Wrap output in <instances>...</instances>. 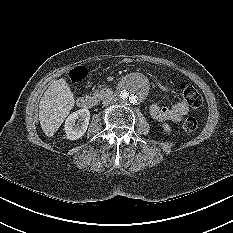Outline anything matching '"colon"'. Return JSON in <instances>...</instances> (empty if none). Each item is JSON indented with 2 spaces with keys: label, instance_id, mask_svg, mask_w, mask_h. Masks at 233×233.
Segmentation results:
<instances>
[{
  "label": "colon",
  "instance_id": "obj_1",
  "mask_svg": "<svg viewBox=\"0 0 233 233\" xmlns=\"http://www.w3.org/2000/svg\"><path fill=\"white\" fill-rule=\"evenodd\" d=\"M86 71L84 68H78L72 71L70 74L71 80L73 82L81 81L85 78ZM181 90L183 93V97L186 102L194 109L200 108L203 104V99L200 93L196 90L195 87L188 83L181 84ZM183 129L186 132H194L198 129V121L194 117H189L183 123Z\"/></svg>",
  "mask_w": 233,
  "mask_h": 233
}]
</instances>
